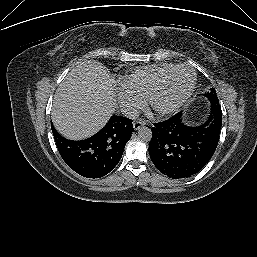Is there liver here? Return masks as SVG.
<instances>
[{
	"mask_svg": "<svg viewBox=\"0 0 257 257\" xmlns=\"http://www.w3.org/2000/svg\"><path fill=\"white\" fill-rule=\"evenodd\" d=\"M115 80L95 60L74 67L54 96L51 118L66 138L80 140L97 133L115 110Z\"/></svg>",
	"mask_w": 257,
	"mask_h": 257,
	"instance_id": "liver-1",
	"label": "liver"
}]
</instances>
